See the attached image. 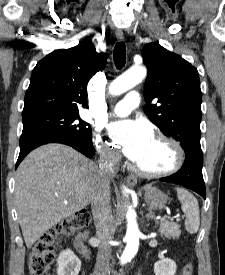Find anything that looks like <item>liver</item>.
<instances>
[{
    "instance_id": "obj_1",
    "label": "liver",
    "mask_w": 225,
    "mask_h": 275,
    "mask_svg": "<svg viewBox=\"0 0 225 275\" xmlns=\"http://www.w3.org/2000/svg\"><path fill=\"white\" fill-rule=\"evenodd\" d=\"M98 167L73 148L47 144L22 161L15 203L27 248L50 228L84 209L95 191Z\"/></svg>"
}]
</instances>
